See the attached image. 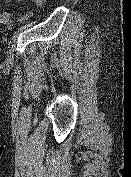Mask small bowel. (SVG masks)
I'll return each mask as SVG.
<instances>
[{
	"label": "small bowel",
	"instance_id": "small-bowel-1",
	"mask_svg": "<svg viewBox=\"0 0 131 177\" xmlns=\"http://www.w3.org/2000/svg\"><path fill=\"white\" fill-rule=\"evenodd\" d=\"M17 2H23L24 0H16ZM39 0H32L33 4L36 6V7H40L42 4H40L38 2ZM33 16V12H28V13H24L22 14L21 16L18 17L19 20H27L29 19L30 17ZM13 19H12V16L9 12L7 11H4L0 14V24H7L8 26H13Z\"/></svg>",
	"mask_w": 131,
	"mask_h": 177
}]
</instances>
